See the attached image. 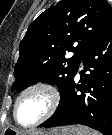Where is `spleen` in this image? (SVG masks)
I'll return each mask as SVG.
<instances>
[{
	"instance_id": "obj_1",
	"label": "spleen",
	"mask_w": 112,
	"mask_h": 135,
	"mask_svg": "<svg viewBox=\"0 0 112 135\" xmlns=\"http://www.w3.org/2000/svg\"><path fill=\"white\" fill-rule=\"evenodd\" d=\"M83 135H100L98 132H89V131H86L83 133Z\"/></svg>"
}]
</instances>
